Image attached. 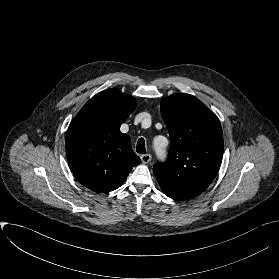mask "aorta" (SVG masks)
I'll use <instances>...</instances> for the list:
<instances>
[{"instance_id":"1","label":"aorta","mask_w":279,"mask_h":279,"mask_svg":"<svg viewBox=\"0 0 279 279\" xmlns=\"http://www.w3.org/2000/svg\"><path fill=\"white\" fill-rule=\"evenodd\" d=\"M162 137H156L154 140V149L159 156H163L165 154V148L161 144Z\"/></svg>"}]
</instances>
